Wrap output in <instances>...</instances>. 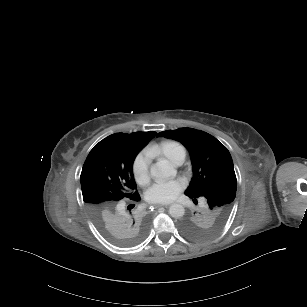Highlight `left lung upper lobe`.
<instances>
[{
	"label": "left lung upper lobe",
	"mask_w": 307,
	"mask_h": 307,
	"mask_svg": "<svg viewBox=\"0 0 307 307\" xmlns=\"http://www.w3.org/2000/svg\"><path fill=\"white\" fill-rule=\"evenodd\" d=\"M157 136L181 142L188 150L193 165V178L185 195L197 203H207L180 222L181 232L190 239L203 240L215 235L225 224L235 199L237 180L227 148L210 134L180 128Z\"/></svg>",
	"instance_id": "5c2ea615"
}]
</instances>
